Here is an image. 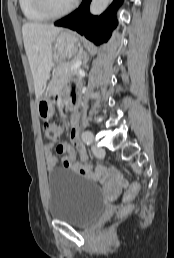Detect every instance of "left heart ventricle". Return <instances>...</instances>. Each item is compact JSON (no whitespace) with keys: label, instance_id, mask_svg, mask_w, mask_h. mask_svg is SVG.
<instances>
[{"label":"left heart ventricle","instance_id":"1","mask_svg":"<svg viewBox=\"0 0 174 258\" xmlns=\"http://www.w3.org/2000/svg\"><path fill=\"white\" fill-rule=\"evenodd\" d=\"M52 6L56 10H61L67 7L73 0H50Z\"/></svg>","mask_w":174,"mask_h":258}]
</instances>
